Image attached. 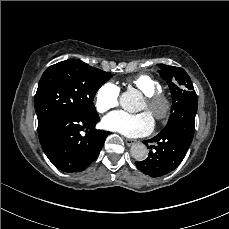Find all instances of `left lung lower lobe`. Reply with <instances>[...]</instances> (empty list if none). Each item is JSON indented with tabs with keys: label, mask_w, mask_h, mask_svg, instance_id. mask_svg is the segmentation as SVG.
I'll return each instance as SVG.
<instances>
[{
	"label": "left lung lower lobe",
	"mask_w": 229,
	"mask_h": 229,
	"mask_svg": "<svg viewBox=\"0 0 229 229\" xmlns=\"http://www.w3.org/2000/svg\"><path fill=\"white\" fill-rule=\"evenodd\" d=\"M193 137L184 131H161L149 142H157L154 151H150L148 158L136 162L137 168L151 177H158L173 171L185 157ZM147 144V141H144Z\"/></svg>",
	"instance_id": "0a47b994"
}]
</instances>
